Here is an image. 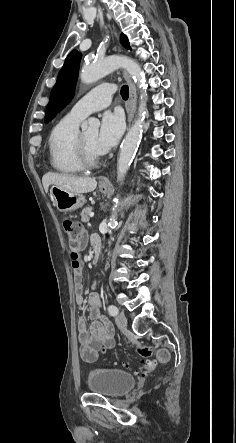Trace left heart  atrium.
I'll list each match as a JSON object with an SVG mask.
<instances>
[{
	"label": "left heart atrium",
	"instance_id": "obj_1",
	"mask_svg": "<svg viewBox=\"0 0 236 443\" xmlns=\"http://www.w3.org/2000/svg\"><path fill=\"white\" fill-rule=\"evenodd\" d=\"M123 131L124 120L120 113H104L95 140L97 153L103 154L111 149L118 142Z\"/></svg>",
	"mask_w": 236,
	"mask_h": 443
}]
</instances>
